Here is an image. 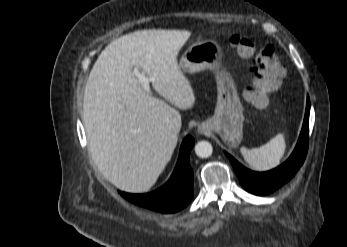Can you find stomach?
Returning a JSON list of instances; mask_svg holds the SVG:
<instances>
[{
	"label": "stomach",
	"mask_w": 347,
	"mask_h": 247,
	"mask_svg": "<svg viewBox=\"0 0 347 247\" xmlns=\"http://www.w3.org/2000/svg\"><path fill=\"white\" fill-rule=\"evenodd\" d=\"M221 59V46L213 40H205L192 44L178 65L184 73L205 69L215 73L218 93L215 112L201 126L218 133L225 143L237 146L243 138V106L233 81L220 67Z\"/></svg>",
	"instance_id": "stomach-1"
}]
</instances>
